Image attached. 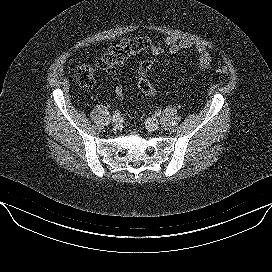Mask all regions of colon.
Instances as JSON below:
<instances>
[{
  "label": "colon",
  "instance_id": "5ec220e1",
  "mask_svg": "<svg viewBox=\"0 0 272 272\" xmlns=\"http://www.w3.org/2000/svg\"><path fill=\"white\" fill-rule=\"evenodd\" d=\"M148 45V40L145 38H132L123 44H117L110 47L94 65L81 64L74 71V78L76 82L84 87H91L96 82L97 72H111L115 66L130 56L139 53L144 50ZM157 62V58L145 60L141 63L138 69L137 86L139 90L147 96H155L157 91L151 85L147 78V73L151 66ZM219 74H226L227 69L225 67H218L215 70ZM115 93L117 96L122 97L123 88L121 85L115 87Z\"/></svg>",
  "mask_w": 272,
  "mask_h": 272
}]
</instances>
